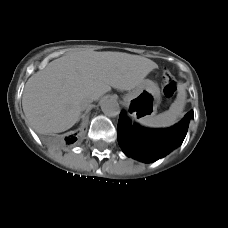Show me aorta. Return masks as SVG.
Instances as JSON below:
<instances>
[{
  "mask_svg": "<svg viewBox=\"0 0 228 228\" xmlns=\"http://www.w3.org/2000/svg\"><path fill=\"white\" fill-rule=\"evenodd\" d=\"M100 105L103 113L109 117H115L120 112L119 104L113 98H103Z\"/></svg>",
  "mask_w": 228,
  "mask_h": 228,
  "instance_id": "aorta-1",
  "label": "aorta"
}]
</instances>
